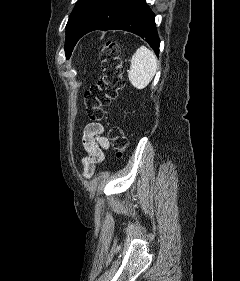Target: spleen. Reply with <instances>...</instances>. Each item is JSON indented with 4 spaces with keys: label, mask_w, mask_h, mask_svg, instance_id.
Returning a JSON list of instances; mask_svg holds the SVG:
<instances>
[{
    "label": "spleen",
    "mask_w": 240,
    "mask_h": 281,
    "mask_svg": "<svg viewBox=\"0 0 240 281\" xmlns=\"http://www.w3.org/2000/svg\"><path fill=\"white\" fill-rule=\"evenodd\" d=\"M157 70V59L152 50L139 47L130 60L128 78L137 89H144L153 79Z\"/></svg>",
    "instance_id": "1"
}]
</instances>
